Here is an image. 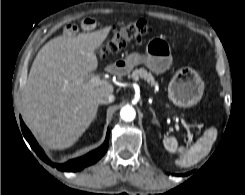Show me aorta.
<instances>
[{"label":"aorta","mask_w":245,"mask_h":195,"mask_svg":"<svg viewBox=\"0 0 245 195\" xmlns=\"http://www.w3.org/2000/svg\"><path fill=\"white\" fill-rule=\"evenodd\" d=\"M120 117L126 122L133 121L136 117V111L132 106L126 105L121 108Z\"/></svg>","instance_id":"762f6f07"}]
</instances>
